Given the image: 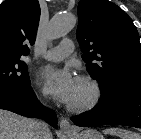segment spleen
<instances>
[{"label":"spleen","instance_id":"1","mask_svg":"<svg viewBox=\"0 0 141 139\" xmlns=\"http://www.w3.org/2000/svg\"><path fill=\"white\" fill-rule=\"evenodd\" d=\"M106 134H111L119 137L120 139H141V135L129 130L121 128H109L104 131Z\"/></svg>","mask_w":141,"mask_h":139}]
</instances>
